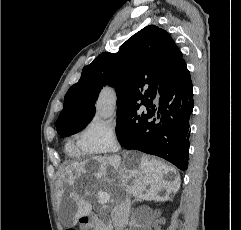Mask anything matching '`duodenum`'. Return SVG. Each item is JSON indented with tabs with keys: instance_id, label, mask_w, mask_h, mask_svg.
<instances>
[{
	"instance_id": "410a0bca",
	"label": "duodenum",
	"mask_w": 241,
	"mask_h": 230,
	"mask_svg": "<svg viewBox=\"0 0 241 230\" xmlns=\"http://www.w3.org/2000/svg\"><path fill=\"white\" fill-rule=\"evenodd\" d=\"M98 218L95 215H83L80 219V223L83 227H92L96 225Z\"/></svg>"
}]
</instances>
